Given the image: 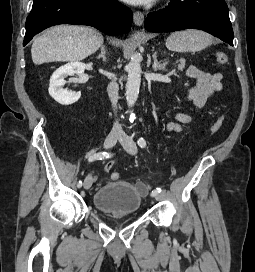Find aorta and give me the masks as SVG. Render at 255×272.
<instances>
[{
    "mask_svg": "<svg viewBox=\"0 0 255 272\" xmlns=\"http://www.w3.org/2000/svg\"><path fill=\"white\" fill-rule=\"evenodd\" d=\"M141 60L139 53L132 55L129 64L127 65L128 79L126 83V101L129 107H132L139 94L141 84Z\"/></svg>",
    "mask_w": 255,
    "mask_h": 272,
    "instance_id": "aorta-1",
    "label": "aorta"
}]
</instances>
